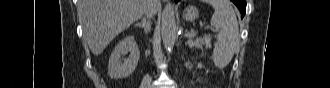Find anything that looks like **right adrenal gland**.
<instances>
[{"instance_id":"right-adrenal-gland-1","label":"right adrenal gland","mask_w":330,"mask_h":88,"mask_svg":"<svg viewBox=\"0 0 330 88\" xmlns=\"http://www.w3.org/2000/svg\"><path fill=\"white\" fill-rule=\"evenodd\" d=\"M136 26L142 27L144 29V32L146 34H148V32L150 31V21L149 19L143 17V19L141 20V22H136L135 24Z\"/></svg>"}]
</instances>
